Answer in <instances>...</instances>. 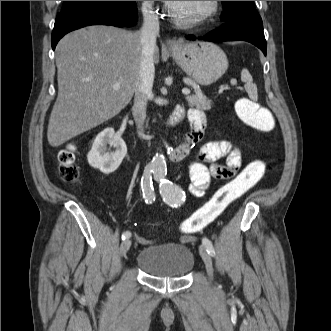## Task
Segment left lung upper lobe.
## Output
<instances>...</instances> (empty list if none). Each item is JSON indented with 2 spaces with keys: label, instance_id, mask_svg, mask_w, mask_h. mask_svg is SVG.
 Masks as SVG:
<instances>
[{
  "label": "left lung upper lobe",
  "instance_id": "5c2ea615",
  "mask_svg": "<svg viewBox=\"0 0 331 331\" xmlns=\"http://www.w3.org/2000/svg\"><path fill=\"white\" fill-rule=\"evenodd\" d=\"M222 4L224 12L220 19L223 22L258 15L254 1H222Z\"/></svg>",
  "mask_w": 331,
  "mask_h": 331
}]
</instances>
